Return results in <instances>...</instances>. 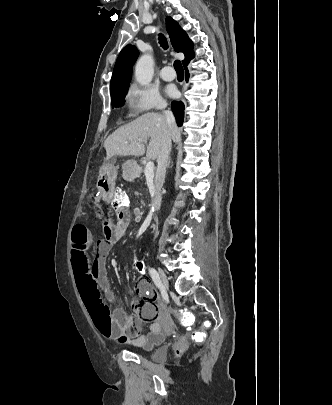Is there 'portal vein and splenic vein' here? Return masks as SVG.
I'll return each mask as SVG.
<instances>
[{
	"label": "portal vein and splenic vein",
	"mask_w": 332,
	"mask_h": 405,
	"mask_svg": "<svg viewBox=\"0 0 332 405\" xmlns=\"http://www.w3.org/2000/svg\"><path fill=\"white\" fill-rule=\"evenodd\" d=\"M144 174L147 180L154 176V163L152 161L147 162Z\"/></svg>",
	"instance_id": "18ae733b"
}]
</instances>
